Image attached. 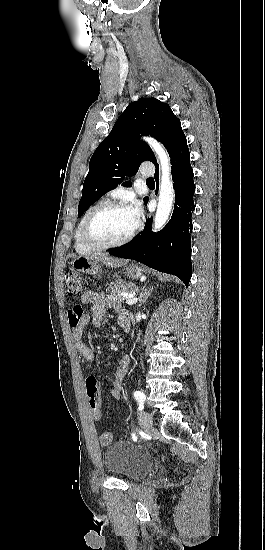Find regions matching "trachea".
I'll return each mask as SVG.
<instances>
[{
  "label": "trachea",
  "instance_id": "trachea-1",
  "mask_svg": "<svg viewBox=\"0 0 265 550\" xmlns=\"http://www.w3.org/2000/svg\"><path fill=\"white\" fill-rule=\"evenodd\" d=\"M153 182H154V179H153V178H148V179L146 180V183H153Z\"/></svg>",
  "mask_w": 265,
  "mask_h": 550
}]
</instances>
